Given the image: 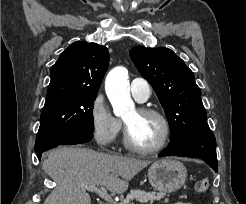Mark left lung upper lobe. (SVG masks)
<instances>
[{
	"label": "left lung upper lobe",
	"instance_id": "left-lung-upper-lobe-1",
	"mask_svg": "<svg viewBox=\"0 0 246 204\" xmlns=\"http://www.w3.org/2000/svg\"><path fill=\"white\" fill-rule=\"evenodd\" d=\"M130 57L149 81L162 104L172 133L171 141L209 127L193 72L172 50L134 47Z\"/></svg>",
	"mask_w": 246,
	"mask_h": 204
}]
</instances>
